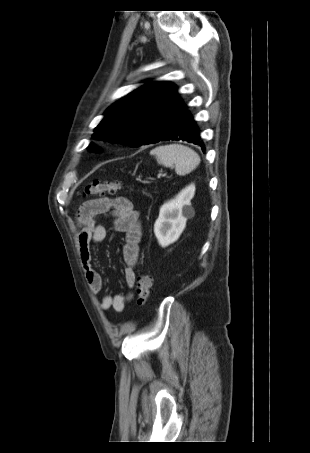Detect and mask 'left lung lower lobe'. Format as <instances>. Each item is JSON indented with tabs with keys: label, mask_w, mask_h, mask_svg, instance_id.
Wrapping results in <instances>:
<instances>
[{
	"label": "left lung lower lobe",
	"mask_w": 310,
	"mask_h": 453,
	"mask_svg": "<svg viewBox=\"0 0 310 453\" xmlns=\"http://www.w3.org/2000/svg\"><path fill=\"white\" fill-rule=\"evenodd\" d=\"M167 140H184L200 146L203 151L205 150V145L200 137V130L182 100L172 117L167 131L160 139V141Z\"/></svg>",
	"instance_id": "1"
}]
</instances>
